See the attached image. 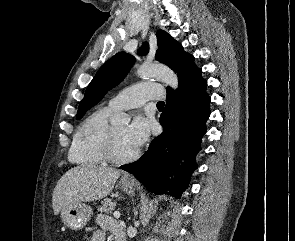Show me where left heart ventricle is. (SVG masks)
I'll list each match as a JSON object with an SVG mask.
<instances>
[{
	"label": "left heart ventricle",
	"mask_w": 295,
	"mask_h": 241,
	"mask_svg": "<svg viewBox=\"0 0 295 241\" xmlns=\"http://www.w3.org/2000/svg\"><path fill=\"white\" fill-rule=\"evenodd\" d=\"M126 125L114 126L115 149L120 156H127L134 153L135 149L126 139Z\"/></svg>",
	"instance_id": "1"
}]
</instances>
